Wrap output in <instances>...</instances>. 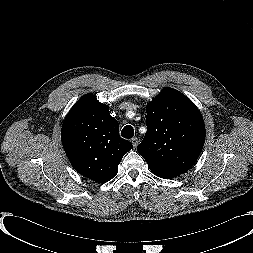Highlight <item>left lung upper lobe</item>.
I'll list each match as a JSON object with an SVG mask.
<instances>
[{"label":"left lung upper lobe","mask_w":253,"mask_h":253,"mask_svg":"<svg viewBox=\"0 0 253 253\" xmlns=\"http://www.w3.org/2000/svg\"><path fill=\"white\" fill-rule=\"evenodd\" d=\"M147 133L137 151L152 173L174 178L196 162L205 142L197 107L183 93L165 88L147 105Z\"/></svg>","instance_id":"1"}]
</instances>
